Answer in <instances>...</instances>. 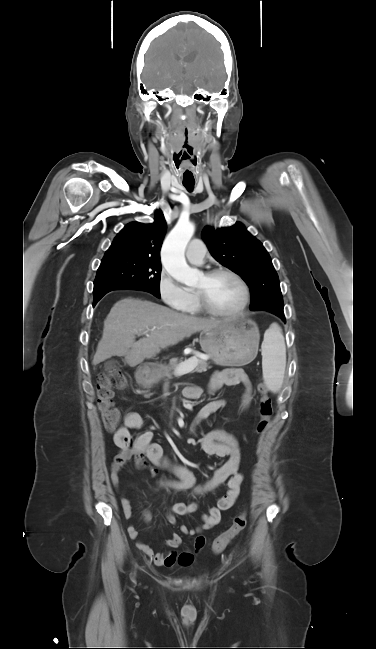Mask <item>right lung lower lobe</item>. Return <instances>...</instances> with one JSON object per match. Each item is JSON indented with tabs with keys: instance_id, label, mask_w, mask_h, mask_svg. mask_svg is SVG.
<instances>
[{
	"instance_id": "98d812e1",
	"label": "right lung lower lobe",
	"mask_w": 376,
	"mask_h": 649,
	"mask_svg": "<svg viewBox=\"0 0 376 649\" xmlns=\"http://www.w3.org/2000/svg\"><path fill=\"white\" fill-rule=\"evenodd\" d=\"M106 293H108V292H104V293H102L101 295H99V296L97 297V299L94 300V305H95V304H96V303H97V302H98V301H99V300H100V299H101V298H102Z\"/></svg>"
}]
</instances>
